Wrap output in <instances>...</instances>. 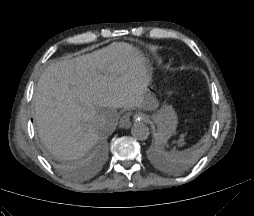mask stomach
I'll return each mask as SVG.
<instances>
[{
    "instance_id": "obj_1",
    "label": "stomach",
    "mask_w": 254,
    "mask_h": 216,
    "mask_svg": "<svg viewBox=\"0 0 254 216\" xmlns=\"http://www.w3.org/2000/svg\"><path fill=\"white\" fill-rule=\"evenodd\" d=\"M134 50L137 52L138 56L143 60L140 63V67L142 69L145 66V60L136 49ZM151 118L155 123V125L157 126V136L160 139L166 140L176 133L178 119L177 114L175 113L174 109L171 106L164 105L160 110L155 112Z\"/></svg>"
}]
</instances>
